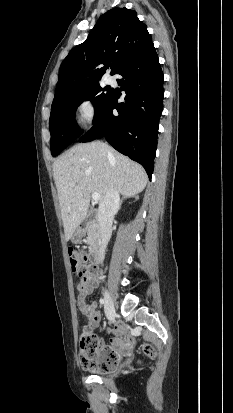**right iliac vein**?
<instances>
[{
  "label": "right iliac vein",
  "mask_w": 233,
  "mask_h": 413,
  "mask_svg": "<svg viewBox=\"0 0 233 413\" xmlns=\"http://www.w3.org/2000/svg\"><path fill=\"white\" fill-rule=\"evenodd\" d=\"M104 309H105V314H106L107 318L112 319L115 315V309H114V304H113L112 298H111V296L109 295L108 292H105Z\"/></svg>",
  "instance_id": "right-iliac-vein-1"
}]
</instances>
